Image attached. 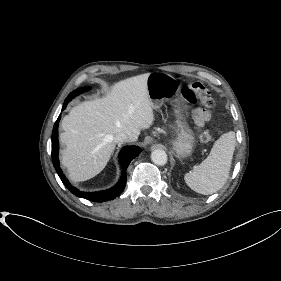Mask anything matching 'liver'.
Masks as SVG:
<instances>
[{"instance_id":"6515ba94","label":"liver","mask_w":281,"mask_h":281,"mask_svg":"<svg viewBox=\"0 0 281 281\" xmlns=\"http://www.w3.org/2000/svg\"><path fill=\"white\" fill-rule=\"evenodd\" d=\"M149 73L115 83L106 96L73 107L62 120L60 140L66 145L62 164L72 181H86L99 174L113 153L116 134L123 132L130 142L153 121L147 80Z\"/></svg>"}]
</instances>
